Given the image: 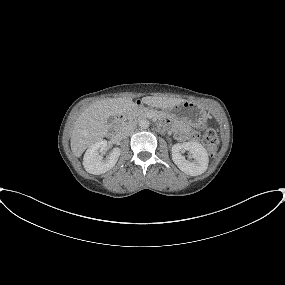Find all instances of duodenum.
<instances>
[{
    "label": "duodenum",
    "mask_w": 285,
    "mask_h": 285,
    "mask_svg": "<svg viewBox=\"0 0 285 285\" xmlns=\"http://www.w3.org/2000/svg\"><path fill=\"white\" fill-rule=\"evenodd\" d=\"M141 109H142V102L138 100L136 102V108H134L132 110L119 112L115 116V122L112 126L113 134L118 135L119 133H121L125 129V121H126L128 113L134 114V115L139 114Z\"/></svg>",
    "instance_id": "1"
}]
</instances>
